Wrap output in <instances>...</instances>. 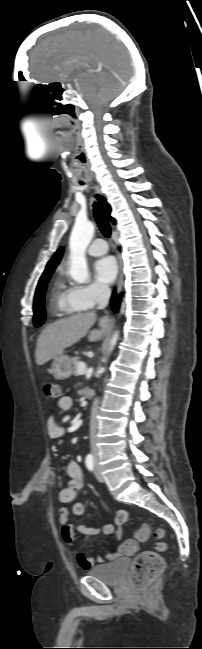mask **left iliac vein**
<instances>
[{"label":"left iliac vein","mask_w":202,"mask_h":649,"mask_svg":"<svg viewBox=\"0 0 202 649\" xmlns=\"http://www.w3.org/2000/svg\"><path fill=\"white\" fill-rule=\"evenodd\" d=\"M95 476H96V478H97V480H98L99 482H103V481H104V478H103V476H102V474H101L100 466H99V464H98L97 461L95 462Z\"/></svg>","instance_id":"obj_1"}]
</instances>
